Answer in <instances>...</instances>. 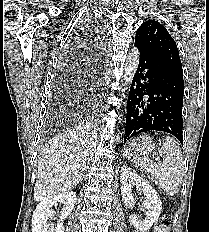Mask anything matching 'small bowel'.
Instances as JSON below:
<instances>
[{"label": "small bowel", "mask_w": 209, "mask_h": 232, "mask_svg": "<svg viewBox=\"0 0 209 232\" xmlns=\"http://www.w3.org/2000/svg\"><path fill=\"white\" fill-rule=\"evenodd\" d=\"M156 231H157V228H156V230L154 232H156ZM164 232H168L167 229Z\"/></svg>", "instance_id": "obj_1"}]
</instances>
